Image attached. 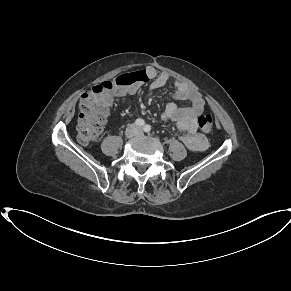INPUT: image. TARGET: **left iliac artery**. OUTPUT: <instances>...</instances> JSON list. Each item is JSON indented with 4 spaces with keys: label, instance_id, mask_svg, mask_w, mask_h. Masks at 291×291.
I'll return each instance as SVG.
<instances>
[{
    "label": "left iliac artery",
    "instance_id": "left-iliac-artery-1",
    "mask_svg": "<svg viewBox=\"0 0 291 291\" xmlns=\"http://www.w3.org/2000/svg\"><path fill=\"white\" fill-rule=\"evenodd\" d=\"M143 130L148 133V132L151 131V126L150 125H145Z\"/></svg>",
    "mask_w": 291,
    "mask_h": 291
}]
</instances>
